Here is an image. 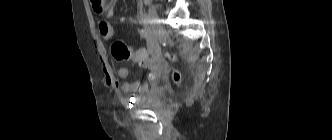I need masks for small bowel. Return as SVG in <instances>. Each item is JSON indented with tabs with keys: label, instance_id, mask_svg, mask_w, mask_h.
I'll use <instances>...</instances> for the list:
<instances>
[{
	"label": "small bowel",
	"instance_id": "c3829d8e",
	"mask_svg": "<svg viewBox=\"0 0 332 140\" xmlns=\"http://www.w3.org/2000/svg\"><path fill=\"white\" fill-rule=\"evenodd\" d=\"M116 1L117 0H112V4H113V2H116ZM112 4L106 10L107 16L112 15ZM113 36H114V34L112 36L103 37V38L106 40H110L113 38ZM157 53H158V43L154 39L150 38L147 41V49L138 50L139 58L137 59V62L142 66H146L149 63L150 58L155 56ZM102 66H103V71L105 74L106 82L113 89L120 88L124 94L142 93L148 89V84L146 82L131 81V82H125L123 84H120L118 78L126 79L129 75V72L126 68H120L118 70V72H117L118 78H117L106 59H102ZM150 77L153 78V75H150Z\"/></svg>",
	"mask_w": 332,
	"mask_h": 140
}]
</instances>
